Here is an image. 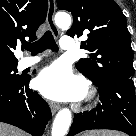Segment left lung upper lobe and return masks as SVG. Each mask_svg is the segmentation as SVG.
Listing matches in <instances>:
<instances>
[{
  "instance_id": "left-lung-upper-lobe-1",
  "label": "left lung upper lobe",
  "mask_w": 136,
  "mask_h": 136,
  "mask_svg": "<svg viewBox=\"0 0 136 136\" xmlns=\"http://www.w3.org/2000/svg\"><path fill=\"white\" fill-rule=\"evenodd\" d=\"M57 5L73 15L67 35L88 36L81 47L91 52V58L76 63L80 72L97 84L133 78L131 37L126 17L114 0H57Z\"/></svg>"
}]
</instances>
